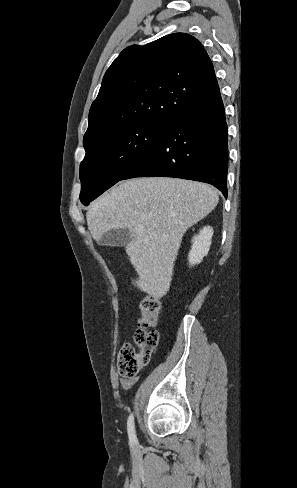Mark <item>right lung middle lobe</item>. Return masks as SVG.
<instances>
[{
	"mask_svg": "<svg viewBox=\"0 0 297 488\" xmlns=\"http://www.w3.org/2000/svg\"><path fill=\"white\" fill-rule=\"evenodd\" d=\"M170 122L147 121L118 129L86 148L80 164L82 204L120 181L149 151Z\"/></svg>",
	"mask_w": 297,
	"mask_h": 488,
	"instance_id": "1",
	"label": "right lung middle lobe"
}]
</instances>
